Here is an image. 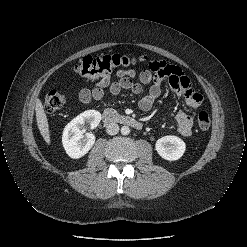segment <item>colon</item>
Masks as SVG:
<instances>
[{
  "instance_id": "colon-1",
  "label": "colon",
  "mask_w": 247,
  "mask_h": 247,
  "mask_svg": "<svg viewBox=\"0 0 247 247\" xmlns=\"http://www.w3.org/2000/svg\"><path fill=\"white\" fill-rule=\"evenodd\" d=\"M145 56L139 58L121 56L118 54L102 55L98 57L86 56L77 63L75 71L82 77L89 80H99L105 76L127 67L135 65L139 61H144ZM65 104V97L57 90L50 91L44 101V109L47 113H54ZM197 124L200 129L207 130L210 127L211 119L207 112L201 111L197 115Z\"/></svg>"
}]
</instances>
